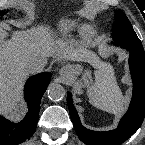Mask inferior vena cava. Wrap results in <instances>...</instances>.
Masks as SVG:
<instances>
[{
	"mask_svg": "<svg viewBox=\"0 0 145 145\" xmlns=\"http://www.w3.org/2000/svg\"><path fill=\"white\" fill-rule=\"evenodd\" d=\"M47 63V58L42 57L35 61L28 63L25 68L28 74L40 73L43 71L45 65Z\"/></svg>",
	"mask_w": 145,
	"mask_h": 145,
	"instance_id": "inferior-vena-cava-1",
	"label": "inferior vena cava"
}]
</instances>
